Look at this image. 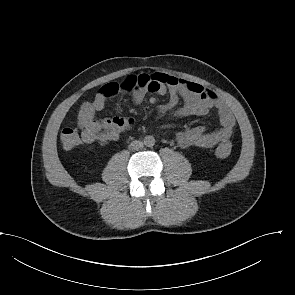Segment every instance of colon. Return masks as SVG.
<instances>
[{
	"label": "colon",
	"instance_id": "obj_1",
	"mask_svg": "<svg viewBox=\"0 0 295 295\" xmlns=\"http://www.w3.org/2000/svg\"><path fill=\"white\" fill-rule=\"evenodd\" d=\"M137 80L135 76L128 77L123 83H109L104 85L99 92L105 97H111L120 91H131L135 88ZM60 139L65 149L71 150L78 146L81 142L82 135L76 127H65L61 131ZM232 144L230 141L222 142L216 149V155L220 158H225L230 155Z\"/></svg>",
	"mask_w": 295,
	"mask_h": 295
}]
</instances>
